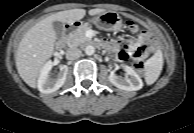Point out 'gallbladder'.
I'll use <instances>...</instances> for the list:
<instances>
[{
	"instance_id": "1",
	"label": "gallbladder",
	"mask_w": 194,
	"mask_h": 133,
	"mask_svg": "<svg viewBox=\"0 0 194 133\" xmlns=\"http://www.w3.org/2000/svg\"><path fill=\"white\" fill-rule=\"evenodd\" d=\"M53 28L58 38H61L64 35V27L61 22L59 21L53 22Z\"/></svg>"
}]
</instances>
